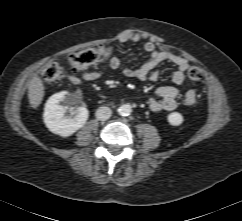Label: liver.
Listing matches in <instances>:
<instances>
[{
    "mask_svg": "<svg viewBox=\"0 0 242 221\" xmlns=\"http://www.w3.org/2000/svg\"><path fill=\"white\" fill-rule=\"evenodd\" d=\"M44 97V85L38 76H34L28 87V99L31 107L36 109L42 102Z\"/></svg>",
    "mask_w": 242,
    "mask_h": 221,
    "instance_id": "obj_1",
    "label": "liver"
}]
</instances>
